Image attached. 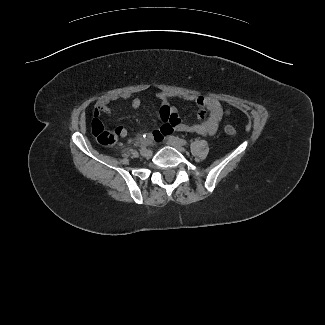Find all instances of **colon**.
<instances>
[{"instance_id":"5ec220e1","label":"colon","mask_w":325,"mask_h":325,"mask_svg":"<svg viewBox=\"0 0 325 325\" xmlns=\"http://www.w3.org/2000/svg\"><path fill=\"white\" fill-rule=\"evenodd\" d=\"M91 129L97 142L103 146H112L118 139V132L116 130H107L98 118H94L91 122ZM225 132L229 135H235L236 129L230 125H225Z\"/></svg>"}]
</instances>
